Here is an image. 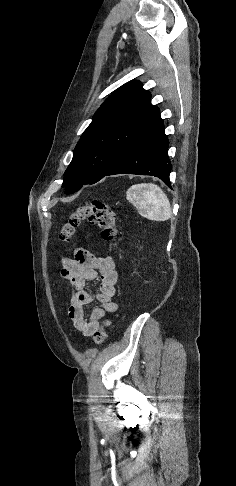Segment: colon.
Segmentation results:
<instances>
[{
  "mask_svg": "<svg viewBox=\"0 0 236 486\" xmlns=\"http://www.w3.org/2000/svg\"><path fill=\"white\" fill-rule=\"evenodd\" d=\"M86 221L97 226L101 231V236L105 241H114L119 233L117 225V214L107 204L100 200H90L86 204L78 206L63 224L59 238L62 242H69L80 224ZM110 321L105 320L103 325L93 334L96 344H102L107 337V328Z\"/></svg>",
  "mask_w": 236,
  "mask_h": 486,
  "instance_id": "5ec220e1",
  "label": "colon"
}]
</instances>
